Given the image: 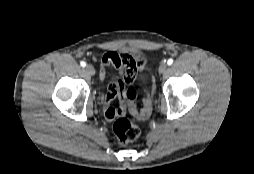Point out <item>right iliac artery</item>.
<instances>
[{
  "instance_id": "1",
  "label": "right iliac artery",
  "mask_w": 254,
  "mask_h": 174,
  "mask_svg": "<svg viewBox=\"0 0 254 174\" xmlns=\"http://www.w3.org/2000/svg\"><path fill=\"white\" fill-rule=\"evenodd\" d=\"M80 64H81L82 67L86 66V63L84 61H82Z\"/></svg>"
}]
</instances>
